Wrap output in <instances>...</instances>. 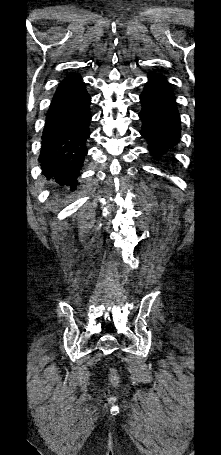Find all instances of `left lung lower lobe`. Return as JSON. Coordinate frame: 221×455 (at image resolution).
<instances>
[{
	"instance_id": "0a47b994",
	"label": "left lung lower lobe",
	"mask_w": 221,
	"mask_h": 455,
	"mask_svg": "<svg viewBox=\"0 0 221 455\" xmlns=\"http://www.w3.org/2000/svg\"><path fill=\"white\" fill-rule=\"evenodd\" d=\"M148 82L140 95L143 122L141 135L149 143L154 156H163L179 142L181 126L175 96L164 76L148 74Z\"/></svg>"
}]
</instances>
